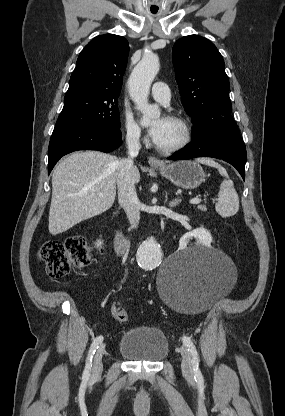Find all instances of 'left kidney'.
<instances>
[{
	"label": "left kidney",
	"mask_w": 285,
	"mask_h": 416,
	"mask_svg": "<svg viewBox=\"0 0 285 416\" xmlns=\"http://www.w3.org/2000/svg\"><path fill=\"white\" fill-rule=\"evenodd\" d=\"M194 236L200 240L201 244L203 246H207V248H210L211 242H212V236L208 230H205V228H197V230H194ZM187 242H189L187 236H183L180 240V246H186Z\"/></svg>",
	"instance_id": "left-kidney-1"
}]
</instances>
